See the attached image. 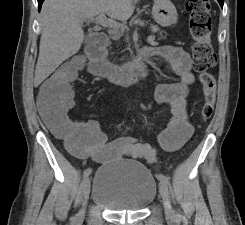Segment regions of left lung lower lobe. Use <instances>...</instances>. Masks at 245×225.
<instances>
[{"label": "left lung lower lobe", "instance_id": "1", "mask_svg": "<svg viewBox=\"0 0 245 225\" xmlns=\"http://www.w3.org/2000/svg\"><path fill=\"white\" fill-rule=\"evenodd\" d=\"M220 4V6L223 8V3H224V0H217Z\"/></svg>", "mask_w": 245, "mask_h": 225}]
</instances>
